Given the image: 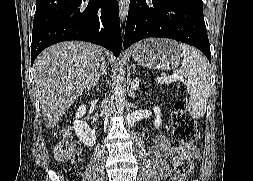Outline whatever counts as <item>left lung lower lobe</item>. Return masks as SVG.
I'll return each instance as SVG.
<instances>
[{"instance_id": "1", "label": "left lung lower lobe", "mask_w": 253, "mask_h": 181, "mask_svg": "<svg viewBox=\"0 0 253 181\" xmlns=\"http://www.w3.org/2000/svg\"><path fill=\"white\" fill-rule=\"evenodd\" d=\"M148 37L195 46L211 61L202 0H130L124 48Z\"/></svg>"}]
</instances>
